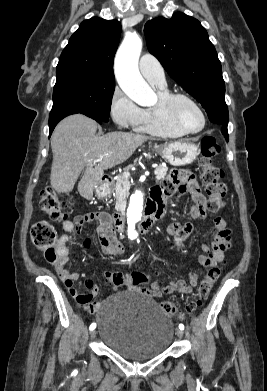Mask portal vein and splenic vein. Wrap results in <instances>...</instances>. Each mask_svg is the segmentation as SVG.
I'll list each match as a JSON object with an SVG mask.
<instances>
[{"label":"portal vein and splenic vein","mask_w":267,"mask_h":391,"mask_svg":"<svg viewBox=\"0 0 267 391\" xmlns=\"http://www.w3.org/2000/svg\"><path fill=\"white\" fill-rule=\"evenodd\" d=\"M105 156H108V154H105ZM101 158H102V156L99 159H96L94 161H89L88 165L96 164L97 162H99L101 160ZM152 167L153 168H157V165L153 164ZM123 176H125L126 178H129L130 177V173L129 172H125L123 174Z\"/></svg>","instance_id":"18ae733b"}]
</instances>
